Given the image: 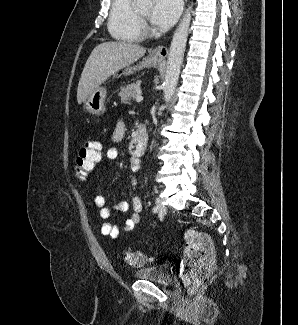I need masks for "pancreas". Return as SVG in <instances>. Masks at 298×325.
I'll return each mask as SVG.
<instances>
[{
    "label": "pancreas",
    "mask_w": 298,
    "mask_h": 325,
    "mask_svg": "<svg viewBox=\"0 0 298 325\" xmlns=\"http://www.w3.org/2000/svg\"><path fill=\"white\" fill-rule=\"evenodd\" d=\"M141 86V80H136L132 84H127V86H122L118 96H121V102H131L137 96V90Z\"/></svg>",
    "instance_id": "obj_1"
}]
</instances>
